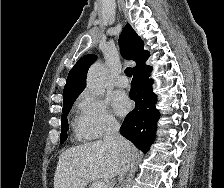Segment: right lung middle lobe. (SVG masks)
<instances>
[{
	"mask_svg": "<svg viewBox=\"0 0 224 188\" xmlns=\"http://www.w3.org/2000/svg\"><path fill=\"white\" fill-rule=\"evenodd\" d=\"M79 94H75L71 97H68L66 99L63 100V109H62V116H61V129H62V133H61V137H60V143H64L65 140L67 139V130H68V121H67V115L74 103V101L76 100V98L78 97Z\"/></svg>",
	"mask_w": 224,
	"mask_h": 188,
	"instance_id": "right-lung-middle-lobe-1",
	"label": "right lung middle lobe"
}]
</instances>
